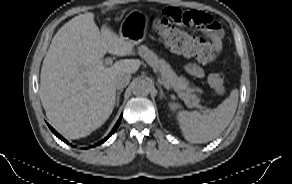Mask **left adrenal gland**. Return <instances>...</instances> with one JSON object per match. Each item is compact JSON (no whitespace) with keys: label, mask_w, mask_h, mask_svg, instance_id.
I'll return each mask as SVG.
<instances>
[{"label":"left adrenal gland","mask_w":292,"mask_h":184,"mask_svg":"<svg viewBox=\"0 0 292 184\" xmlns=\"http://www.w3.org/2000/svg\"><path fill=\"white\" fill-rule=\"evenodd\" d=\"M159 89H160V98H161V99H162V98H166L165 95H164V93H163L162 88L159 87Z\"/></svg>","instance_id":"a2214340"}]
</instances>
